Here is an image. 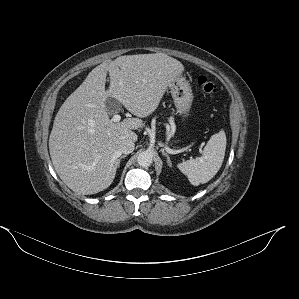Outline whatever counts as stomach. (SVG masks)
Here are the masks:
<instances>
[{
  "label": "stomach",
  "instance_id": "1",
  "mask_svg": "<svg viewBox=\"0 0 299 299\" xmlns=\"http://www.w3.org/2000/svg\"><path fill=\"white\" fill-rule=\"evenodd\" d=\"M169 88L177 114L182 116L183 121H185L190 115L194 98L191 86L185 77L180 74L170 84Z\"/></svg>",
  "mask_w": 299,
  "mask_h": 299
}]
</instances>
